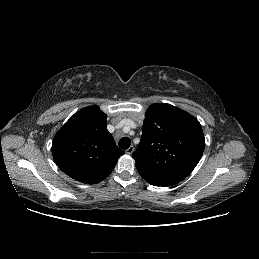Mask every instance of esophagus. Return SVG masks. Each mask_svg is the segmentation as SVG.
Listing matches in <instances>:
<instances>
[{"mask_svg": "<svg viewBox=\"0 0 259 259\" xmlns=\"http://www.w3.org/2000/svg\"><path fill=\"white\" fill-rule=\"evenodd\" d=\"M134 152V147L133 146H130L127 150H126V153L127 154H132Z\"/></svg>", "mask_w": 259, "mask_h": 259, "instance_id": "34e87169", "label": "esophagus"}]
</instances>
